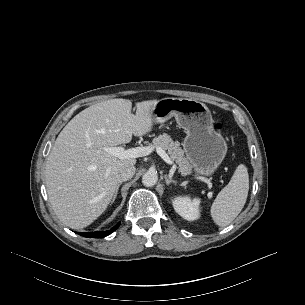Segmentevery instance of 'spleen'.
Returning <instances> with one entry per match:
<instances>
[{"label":"spleen","instance_id":"3e777b00","mask_svg":"<svg viewBox=\"0 0 305 305\" xmlns=\"http://www.w3.org/2000/svg\"><path fill=\"white\" fill-rule=\"evenodd\" d=\"M249 191L247 168L240 164L230 182L218 193L210 213L218 226L229 225L242 211Z\"/></svg>","mask_w":305,"mask_h":305}]
</instances>
